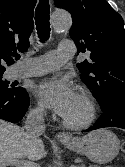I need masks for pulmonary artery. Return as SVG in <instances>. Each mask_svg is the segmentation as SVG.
<instances>
[{
	"label": "pulmonary artery",
	"mask_w": 125,
	"mask_h": 167,
	"mask_svg": "<svg viewBox=\"0 0 125 167\" xmlns=\"http://www.w3.org/2000/svg\"><path fill=\"white\" fill-rule=\"evenodd\" d=\"M74 55V44L68 40H62L58 45V50L49 51L41 56L29 58L31 66L21 67L14 72V78L39 76L49 73Z\"/></svg>",
	"instance_id": "pulmonary-artery-1"
}]
</instances>
